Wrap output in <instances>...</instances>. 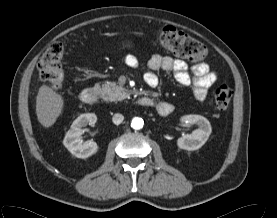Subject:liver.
<instances>
[{
    "mask_svg": "<svg viewBox=\"0 0 277 218\" xmlns=\"http://www.w3.org/2000/svg\"><path fill=\"white\" fill-rule=\"evenodd\" d=\"M63 106L64 100L60 94L45 84L39 88L36 97V114L43 127H51L56 122Z\"/></svg>",
    "mask_w": 277,
    "mask_h": 218,
    "instance_id": "6515ba94",
    "label": "liver"
}]
</instances>
